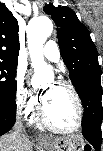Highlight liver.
Returning <instances> with one entry per match:
<instances>
[{"instance_id": "liver-1", "label": "liver", "mask_w": 103, "mask_h": 151, "mask_svg": "<svg viewBox=\"0 0 103 151\" xmlns=\"http://www.w3.org/2000/svg\"><path fill=\"white\" fill-rule=\"evenodd\" d=\"M60 138V137H55ZM31 146L28 138L19 134H7L0 139V150L1 151H30Z\"/></svg>"}]
</instances>
